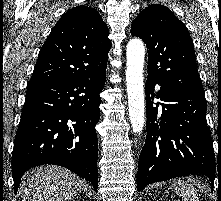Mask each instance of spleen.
<instances>
[{
  "label": "spleen",
  "instance_id": "obj_1",
  "mask_svg": "<svg viewBox=\"0 0 221 201\" xmlns=\"http://www.w3.org/2000/svg\"><path fill=\"white\" fill-rule=\"evenodd\" d=\"M171 188L183 201H199V196L194 186L182 180H174Z\"/></svg>",
  "mask_w": 221,
  "mask_h": 201
}]
</instances>
